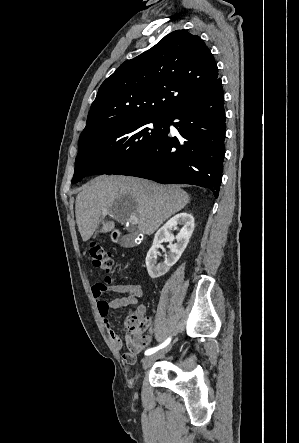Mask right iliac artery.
I'll list each match as a JSON object with an SVG mask.
<instances>
[{
  "mask_svg": "<svg viewBox=\"0 0 299 443\" xmlns=\"http://www.w3.org/2000/svg\"><path fill=\"white\" fill-rule=\"evenodd\" d=\"M170 341H171V338L169 337V338H168L165 342H163L161 345H159V346H157V347H154V348L147 349V350L145 351V355H151V354L157 352L158 350L163 349L164 347H166V346L170 343Z\"/></svg>",
  "mask_w": 299,
  "mask_h": 443,
  "instance_id": "82829eb1",
  "label": "right iliac artery"
}]
</instances>
